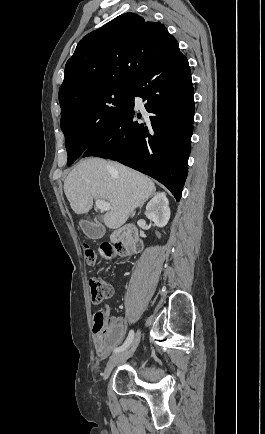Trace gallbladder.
Instances as JSON below:
<instances>
[{
    "instance_id": "gallbladder-1",
    "label": "gallbladder",
    "mask_w": 265,
    "mask_h": 434,
    "mask_svg": "<svg viewBox=\"0 0 265 434\" xmlns=\"http://www.w3.org/2000/svg\"><path fill=\"white\" fill-rule=\"evenodd\" d=\"M97 218H102V216H97ZM82 223V229L89 238L98 240L104 236L105 230L101 223L94 224L91 219H84Z\"/></svg>"
}]
</instances>
